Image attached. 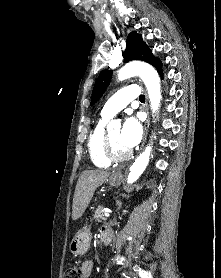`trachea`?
I'll list each match as a JSON object with an SVG mask.
<instances>
[{"instance_id": "1", "label": "trachea", "mask_w": 221, "mask_h": 278, "mask_svg": "<svg viewBox=\"0 0 221 278\" xmlns=\"http://www.w3.org/2000/svg\"><path fill=\"white\" fill-rule=\"evenodd\" d=\"M139 100L144 102L145 101V96L144 95H140Z\"/></svg>"}]
</instances>
